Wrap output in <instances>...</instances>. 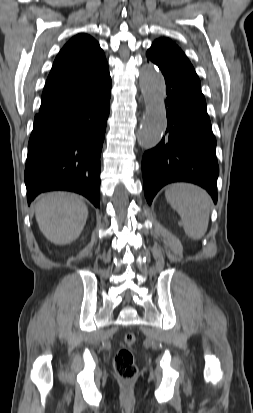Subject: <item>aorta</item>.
Returning a JSON list of instances; mask_svg holds the SVG:
<instances>
[{
    "instance_id": "obj_1",
    "label": "aorta",
    "mask_w": 253,
    "mask_h": 413,
    "mask_svg": "<svg viewBox=\"0 0 253 413\" xmlns=\"http://www.w3.org/2000/svg\"><path fill=\"white\" fill-rule=\"evenodd\" d=\"M146 112L137 133L142 147L156 146L162 139L167 126L164 99L166 86L163 75L152 65H144L139 78Z\"/></svg>"
}]
</instances>
